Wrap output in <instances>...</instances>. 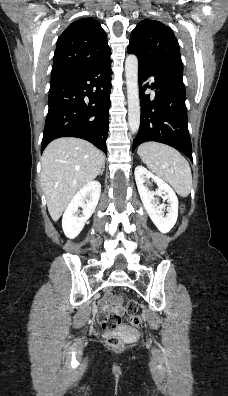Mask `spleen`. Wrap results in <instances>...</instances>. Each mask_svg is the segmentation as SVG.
I'll list each match as a JSON object with an SVG mask.
<instances>
[{"label":"spleen","mask_w":228,"mask_h":396,"mask_svg":"<svg viewBox=\"0 0 228 396\" xmlns=\"http://www.w3.org/2000/svg\"><path fill=\"white\" fill-rule=\"evenodd\" d=\"M138 154L151 171L172 185L178 195H189L192 188L191 169L177 150L158 142H145L138 147Z\"/></svg>","instance_id":"3e777b00"}]
</instances>
